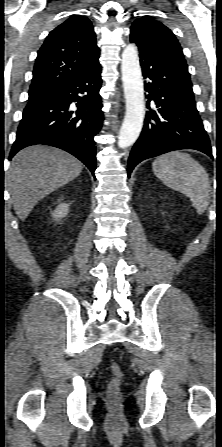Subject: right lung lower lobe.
<instances>
[{
    "mask_svg": "<svg viewBox=\"0 0 222 447\" xmlns=\"http://www.w3.org/2000/svg\"><path fill=\"white\" fill-rule=\"evenodd\" d=\"M100 73L98 62L50 97L28 104L9 160L24 147L45 144L71 153L94 174L96 146L93 138L103 122Z\"/></svg>",
    "mask_w": 222,
    "mask_h": 447,
    "instance_id": "1",
    "label": "right lung lower lobe"
}]
</instances>
